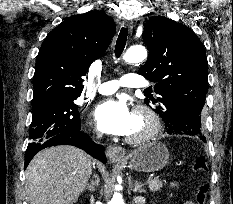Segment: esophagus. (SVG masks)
Segmentation results:
<instances>
[{
	"mask_svg": "<svg viewBox=\"0 0 233 204\" xmlns=\"http://www.w3.org/2000/svg\"><path fill=\"white\" fill-rule=\"evenodd\" d=\"M130 31L133 29V23L131 21H126L124 23ZM126 150L120 146L110 145L106 148V156L112 161H120L125 157Z\"/></svg>",
	"mask_w": 233,
	"mask_h": 204,
	"instance_id": "esophagus-1",
	"label": "esophagus"
}]
</instances>
